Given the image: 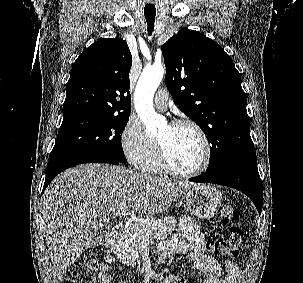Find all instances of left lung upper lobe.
Instances as JSON below:
<instances>
[{
	"instance_id": "obj_1",
	"label": "left lung upper lobe",
	"mask_w": 303,
	"mask_h": 283,
	"mask_svg": "<svg viewBox=\"0 0 303 283\" xmlns=\"http://www.w3.org/2000/svg\"><path fill=\"white\" fill-rule=\"evenodd\" d=\"M165 84L211 144L206 171L255 152L240 73L214 40L182 29L163 46Z\"/></svg>"
}]
</instances>
